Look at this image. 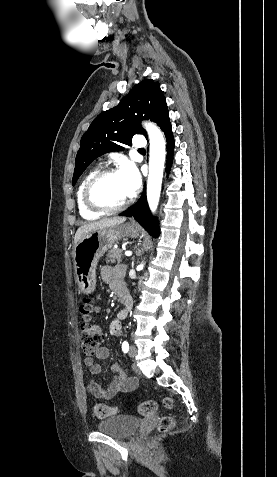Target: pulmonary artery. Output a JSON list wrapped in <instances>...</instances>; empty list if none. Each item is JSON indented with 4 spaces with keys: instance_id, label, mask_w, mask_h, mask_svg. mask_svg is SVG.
<instances>
[{
    "instance_id": "e3ab8cb5",
    "label": "pulmonary artery",
    "mask_w": 277,
    "mask_h": 477,
    "mask_svg": "<svg viewBox=\"0 0 277 477\" xmlns=\"http://www.w3.org/2000/svg\"><path fill=\"white\" fill-rule=\"evenodd\" d=\"M146 142L142 136H137L133 142V146L137 149L144 148Z\"/></svg>"
}]
</instances>
